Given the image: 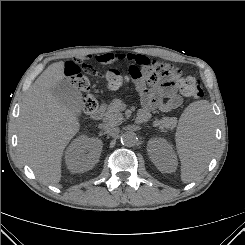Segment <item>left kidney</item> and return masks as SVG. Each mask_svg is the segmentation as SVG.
I'll use <instances>...</instances> for the list:
<instances>
[{"label": "left kidney", "mask_w": 245, "mask_h": 245, "mask_svg": "<svg viewBox=\"0 0 245 245\" xmlns=\"http://www.w3.org/2000/svg\"><path fill=\"white\" fill-rule=\"evenodd\" d=\"M147 151L151 161L162 172H173L177 166V157L172 146L163 138L149 140Z\"/></svg>", "instance_id": "left-kidney-1"}]
</instances>
